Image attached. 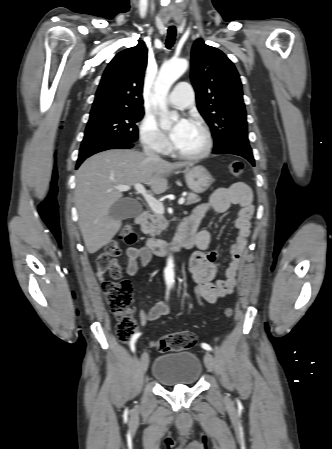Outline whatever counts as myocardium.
Listing matches in <instances>:
<instances>
[{
    "label": "myocardium",
    "instance_id": "myocardium-1",
    "mask_svg": "<svg viewBox=\"0 0 332 449\" xmlns=\"http://www.w3.org/2000/svg\"><path fill=\"white\" fill-rule=\"evenodd\" d=\"M192 123L200 128L204 136V146L197 152L187 153L179 150L175 145L173 146L174 153L185 160H199L207 157L213 148V136L211 130L204 121L199 118H194Z\"/></svg>",
    "mask_w": 332,
    "mask_h": 449
}]
</instances>
